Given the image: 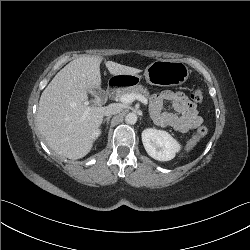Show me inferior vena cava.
Segmentation results:
<instances>
[{
  "instance_id": "inferior-vena-cava-1",
  "label": "inferior vena cava",
  "mask_w": 250,
  "mask_h": 250,
  "mask_svg": "<svg viewBox=\"0 0 250 250\" xmlns=\"http://www.w3.org/2000/svg\"><path fill=\"white\" fill-rule=\"evenodd\" d=\"M122 110L121 106L118 104H110L106 107L104 115L111 116L120 113Z\"/></svg>"
}]
</instances>
